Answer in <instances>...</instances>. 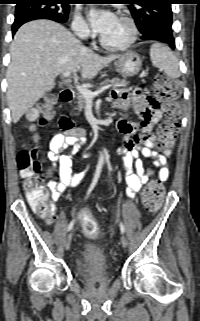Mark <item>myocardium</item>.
Wrapping results in <instances>:
<instances>
[{
    "instance_id": "obj_1",
    "label": "myocardium",
    "mask_w": 200,
    "mask_h": 321,
    "mask_svg": "<svg viewBox=\"0 0 200 321\" xmlns=\"http://www.w3.org/2000/svg\"><path fill=\"white\" fill-rule=\"evenodd\" d=\"M118 16L128 23L131 33H130V38L128 39V41L124 44H121V45H111L104 40L102 35H100V37H99L100 45L104 49H106L108 51H112V52L125 51V50L129 49L136 42V40L138 38V27H137L135 20L131 16H129L125 13H119Z\"/></svg>"
}]
</instances>
